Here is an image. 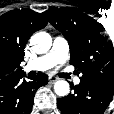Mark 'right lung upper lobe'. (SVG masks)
<instances>
[{
    "instance_id": "obj_1",
    "label": "right lung upper lobe",
    "mask_w": 114,
    "mask_h": 114,
    "mask_svg": "<svg viewBox=\"0 0 114 114\" xmlns=\"http://www.w3.org/2000/svg\"><path fill=\"white\" fill-rule=\"evenodd\" d=\"M44 13L11 10L0 16V75L22 73L24 48L30 36L47 25Z\"/></svg>"
}]
</instances>
